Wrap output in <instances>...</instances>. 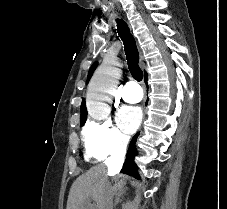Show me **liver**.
Wrapping results in <instances>:
<instances>
[{
  "label": "liver",
  "instance_id": "1",
  "mask_svg": "<svg viewBox=\"0 0 227 209\" xmlns=\"http://www.w3.org/2000/svg\"><path fill=\"white\" fill-rule=\"evenodd\" d=\"M106 173L105 165H100V167H92L88 173L78 177L70 189L66 209H85L84 203L89 197H92L96 203H103L104 185L107 181ZM124 185H126L125 177L111 189L119 191V189H123Z\"/></svg>",
  "mask_w": 227,
  "mask_h": 209
}]
</instances>
